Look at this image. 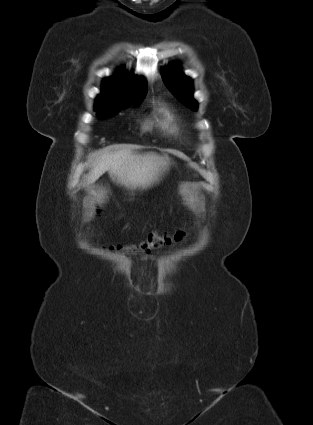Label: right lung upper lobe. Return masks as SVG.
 I'll list each match as a JSON object with an SVG mask.
<instances>
[{"label": "right lung upper lobe", "instance_id": "cb5924a9", "mask_svg": "<svg viewBox=\"0 0 313 425\" xmlns=\"http://www.w3.org/2000/svg\"><path fill=\"white\" fill-rule=\"evenodd\" d=\"M147 93L146 81L125 70H119L113 77L103 80L102 92L96 102L109 99H119L125 102L143 100Z\"/></svg>", "mask_w": 313, "mask_h": 425}]
</instances>
